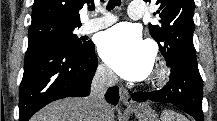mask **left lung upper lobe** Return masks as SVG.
<instances>
[{
	"label": "left lung upper lobe",
	"instance_id": "1",
	"mask_svg": "<svg viewBox=\"0 0 217 121\" xmlns=\"http://www.w3.org/2000/svg\"><path fill=\"white\" fill-rule=\"evenodd\" d=\"M150 2L151 0H145ZM161 25L149 24V31L170 64L178 59L197 63L194 46V0H157Z\"/></svg>",
	"mask_w": 217,
	"mask_h": 121
}]
</instances>
